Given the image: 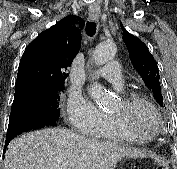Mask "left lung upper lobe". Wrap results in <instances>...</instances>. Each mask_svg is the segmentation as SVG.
Masks as SVG:
<instances>
[{
    "label": "left lung upper lobe",
    "instance_id": "1",
    "mask_svg": "<svg viewBox=\"0 0 177 169\" xmlns=\"http://www.w3.org/2000/svg\"><path fill=\"white\" fill-rule=\"evenodd\" d=\"M122 28L123 25L121 24ZM123 40L128 48L134 68L141 75L146 86L152 90L157 102L163 107L158 66L147 46L123 28Z\"/></svg>",
    "mask_w": 177,
    "mask_h": 169
}]
</instances>
